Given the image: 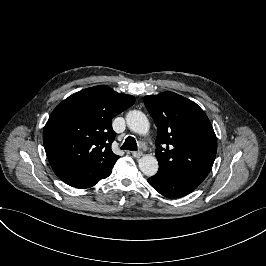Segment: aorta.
Returning a JSON list of instances; mask_svg holds the SVG:
<instances>
[{
    "label": "aorta",
    "mask_w": 266,
    "mask_h": 266,
    "mask_svg": "<svg viewBox=\"0 0 266 266\" xmlns=\"http://www.w3.org/2000/svg\"><path fill=\"white\" fill-rule=\"evenodd\" d=\"M126 123L128 128L137 134L145 135L148 133L150 128L148 118L142 111L139 110L129 111L126 115ZM138 164L140 171L147 177L154 176L159 168L156 157L152 155L142 156L139 159Z\"/></svg>",
    "instance_id": "aorta-1"
}]
</instances>
